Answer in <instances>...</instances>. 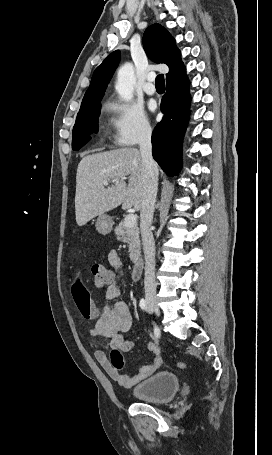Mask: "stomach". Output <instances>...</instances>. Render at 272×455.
<instances>
[{"label":"stomach","instance_id":"1","mask_svg":"<svg viewBox=\"0 0 272 455\" xmlns=\"http://www.w3.org/2000/svg\"><path fill=\"white\" fill-rule=\"evenodd\" d=\"M113 227L112 218L106 214H101L97 218L96 229L102 235H107L111 232Z\"/></svg>","mask_w":272,"mask_h":455}]
</instances>
